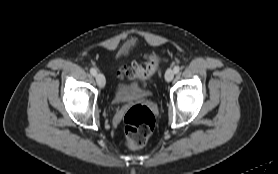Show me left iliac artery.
<instances>
[{"label":"left iliac artery","instance_id":"obj_1","mask_svg":"<svg viewBox=\"0 0 278 174\" xmlns=\"http://www.w3.org/2000/svg\"><path fill=\"white\" fill-rule=\"evenodd\" d=\"M173 70H174V73L177 74L180 71V67L179 66H175Z\"/></svg>","mask_w":278,"mask_h":174}]
</instances>
